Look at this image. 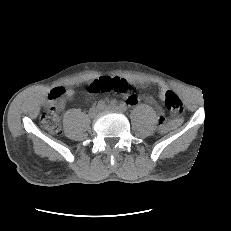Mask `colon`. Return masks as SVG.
<instances>
[{
  "instance_id": "obj_1",
  "label": "colon",
  "mask_w": 231,
  "mask_h": 231,
  "mask_svg": "<svg viewBox=\"0 0 231 231\" xmlns=\"http://www.w3.org/2000/svg\"><path fill=\"white\" fill-rule=\"evenodd\" d=\"M90 88L94 92L116 91L125 93L129 90V85L126 80L121 78L103 77L95 80ZM61 94V90L55 89L51 93V99L54 100ZM164 101L166 109L173 115H180L183 112V104L175 92L168 90L164 96ZM40 121L47 131L53 134H58L60 132V118L56 106L52 105L44 111L41 115ZM159 124L162 129H165L166 123L163 113L160 115Z\"/></svg>"
}]
</instances>
